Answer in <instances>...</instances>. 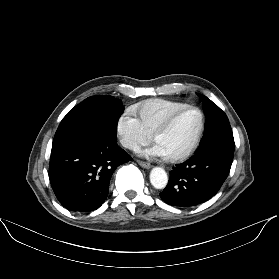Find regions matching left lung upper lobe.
I'll return each instance as SVG.
<instances>
[{
	"label": "left lung upper lobe",
	"instance_id": "obj_1",
	"mask_svg": "<svg viewBox=\"0 0 279 279\" xmlns=\"http://www.w3.org/2000/svg\"><path fill=\"white\" fill-rule=\"evenodd\" d=\"M206 115L205 132L199 151L209 145H221L234 151V138L226 114L206 96L201 95Z\"/></svg>",
	"mask_w": 279,
	"mask_h": 279
}]
</instances>
